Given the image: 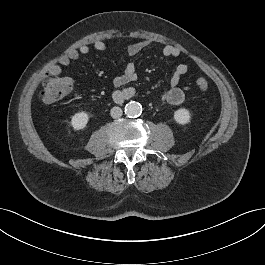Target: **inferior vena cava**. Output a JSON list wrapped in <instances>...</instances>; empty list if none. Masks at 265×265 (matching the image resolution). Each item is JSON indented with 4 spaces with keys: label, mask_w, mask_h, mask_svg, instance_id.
Masks as SVG:
<instances>
[{
    "label": "inferior vena cava",
    "mask_w": 265,
    "mask_h": 265,
    "mask_svg": "<svg viewBox=\"0 0 265 265\" xmlns=\"http://www.w3.org/2000/svg\"><path fill=\"white\" fill-rule=\"evenodd\" d=\"M122 113H123L122 109L117 106L113 107L110 111L111 117L115 119L121 117Z\"/></svg>",
    "instance_id": "inferior-vena-cava-1"
}]
</instances>
